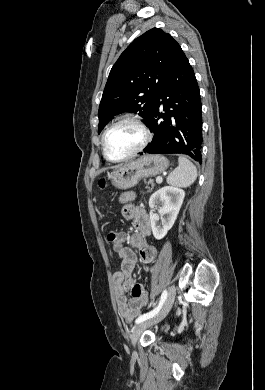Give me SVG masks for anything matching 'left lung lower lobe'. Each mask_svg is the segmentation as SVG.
I'll return each mask as SVG.
<instances>
[{
	"mask_svg": "<svg viewBox=\"0 0 265 390\" xmlns=\"http://www.w3.org/2000/svg\"><path fill=\"white\" fill-rule=\"evenodd\" d=\"M161 104L164 113L159 111ZM147 127L154 137L144 148V153L185 154L202 163L200 93L195 74L184 53L158 91Z\"/></svg>",
	"mask_w": 265,
	"mask_h": 390,
	"instance_id": "obj_1",
	"label": "left lung lower lobe"
}]
</instances>
